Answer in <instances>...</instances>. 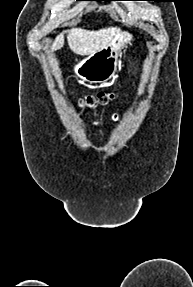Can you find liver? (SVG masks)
I'll use <instances>...</instances> for the list:
<instances>
[{"mask_svg": "<svg viewBox=\"0 0 193 287\" xmlns=\"http://www.w3.org/2000/svg\"><path fill=\"white\" fill-rule=\"evenodd\" d=\"M119 33L116 27L103 28L97 31H89L82 28H73L69 31L67 41L70 49L78 55H91L110 43ZM64 45V35L56 37L51 46V51L58 50Z\"/></svg>", "mask_w": 193, "mask_h": 287, "instance_id": "6515ba94", "label": "liver"}]
</instances>
